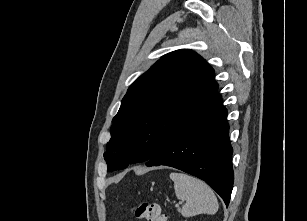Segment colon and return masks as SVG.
<instances>
[{"instance_id":"1","label":"colon","mask_w":307,"mask_h":221,"mask_svg":"<svg viewBox=\"0 0 307 221\" xmlns=\"http://www.w3.org/2000/svg\"><path fill=\"white\" fill-rule=\"evenodd\" d=\"M133 214L145 221H167L166 215L156 203L142 202L132 209Z\"/></svg>"}]
</instances>
